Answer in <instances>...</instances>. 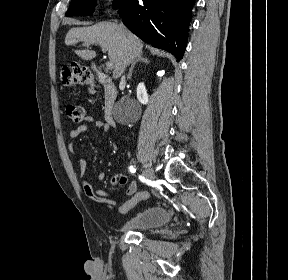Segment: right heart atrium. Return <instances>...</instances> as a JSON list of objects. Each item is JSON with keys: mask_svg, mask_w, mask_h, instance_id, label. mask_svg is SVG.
Returning a JSON list of instances; mask_svg holds the SVG:
<instances>
[{"mask_svg": "<svg viewBox=\"0 0 288 280\" xmlns=\"http://www.w3.org/2000/svg\"><path fill=\"white\" fill-rule=\"evenodd\" d=\"M112 0H104L105 5H108L111 3Z\"/></svg>", "mask_w": 288, "mask_h": 280, "instance_id": "1", "label": "right heart atrium"}]
</instances>
